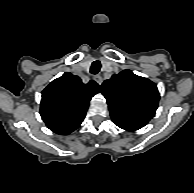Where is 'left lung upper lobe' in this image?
I'll return each instance as SVG.
<instances>
[{
	"instance_id": "left-lung-upper-lobe-1",
	"label": "left lung upper lobe",
	"mask_w": 194,
	"mask_h": 193,
	"mask_svg": "<svg viewBox=\"0 0 194 193\" xmlns=\"http://www.w3.org/2000/svg\"><path fill=\"white\" fill-rule=\"evenodd\" d=\"M109 105L112 120L138 127L145 126L155 115L159 102L156 85L130 70L115 74L101 87Z\"/></svg>"
}]
</instances>
